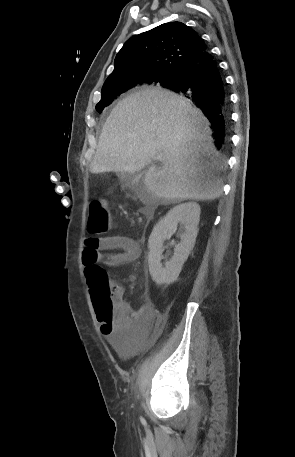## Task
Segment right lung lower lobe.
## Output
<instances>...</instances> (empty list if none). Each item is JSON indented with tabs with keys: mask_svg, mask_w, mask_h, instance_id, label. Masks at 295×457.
I'll return each instance as SVG.
<instances>
[{
	"mask_svg": "<svg viewBox=\"0 0 295 457\" xmlns=\"http://www.w3.org/2000/svg\"><path fill=\"white\" fill-rule=\"evenodd\" d=\"M166 88L196 103L214 129L215 146L223 151L227 146L229 99L214 57L207 50L196 55L179 69L175 80Z\"/></svg>",
	"mask_w": 295,
	"mask_h": 457,
	"instance_id": "98d812e1",
	"label": "right lung lower lobe"
}]
</instances>
